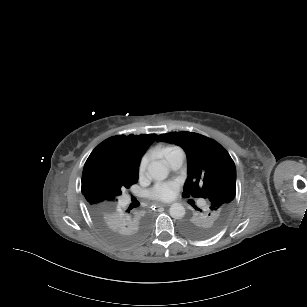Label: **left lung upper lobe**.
Wrapping results in <instances>:
<instances>
[{
    "label": "left lung upper lobe",
    "instance_id": "5c2ea615",
    "mask_svg": "<svg viewBox=\"0 0 307 307\" xmlns=\"http://www.w3.org/2000/svg\"><path fill=\"white\" fill-rule=\"evenodd\" d=\"M157 141L181 146L187 155L188 178L183 197L197 210L181 224L182 232L195 239L207 238L224 224L229 203L236 193V168L228 152L216 141L192 132L161 134ZM208 201L199 209L192 200Z\"/></svg>",
    "mask_w": 307,
    "mask_h": 307
}]
</instances>
